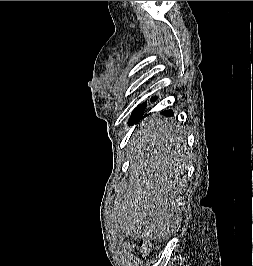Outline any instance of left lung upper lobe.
<instances>
[{
    "label": "left lung upper lobe",
    "instance_id": "left-lung-upper-lobe-1",
    "mask_svg": "<svg viewBox=\"0 0 253 266\" xmlns=\"http://www.w3.org/2000/svg\"><path fill=\"white\" fill-rule=\"evenodd\" d=\"M146 107V103L139 105L134 111L132 112L131 119L129 121V124L132 125L135 122L139 121L144 113V109Z\"/></svg>",
    "mask_w": 253,
    "mask_h": 266
}]
</instances>
